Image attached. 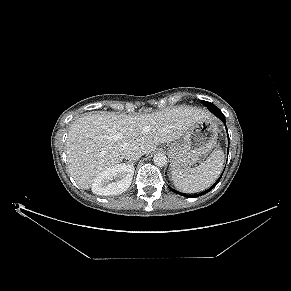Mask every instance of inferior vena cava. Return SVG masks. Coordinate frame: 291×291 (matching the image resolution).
<instances>
[{
  "instance_id": "1",
  "label": "inferior vena cava",
  "mask_w": 291,
  "mask_h": 291,
  "mask_svg": "<svg viewBox=\"0 0 291 291\" xmlns=\"http://www.w3.org/2000/svg\"><path fill=\"white\" fill-rule=\"evenodd\" d=\"M142 155V151L136 146H130L124 151V158L129 161H137Z\"/></svg>"
}]
</instances>
